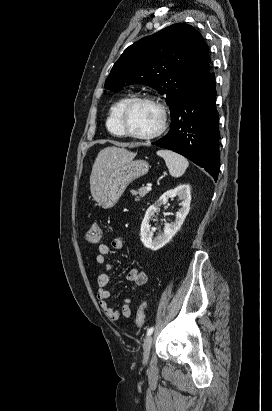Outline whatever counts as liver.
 I'll list each match as a JSON object with an SVG mask.
<instances>
[{
	"label": "liver",
	"mask_w": 272,
	"mask_h": 411,
	"mask_svg": "<svg viewBox=\"0 0 272 411\" xmlns=\"http://www.w3.org/2000/svg\"><path fill=\"white\" fill-rule=\"evenodd\" d=\"M134 156L133 152L114 146L106 147L98 153L90 176V190L95 201H99L104 184L111 173Z\"/></svg>",
	"instance_id": "1"
}]
</instances>
